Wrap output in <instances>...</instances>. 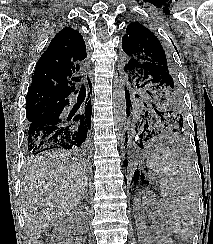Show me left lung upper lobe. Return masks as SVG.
<instances>
[{
	"label": "left lung upper lobe",
	"mask_w": 213,
	"mask_h": 244,
	"mask_svg": "<svg viewBox=\"0 0 213 244\" xmlns=\"http://www.w3.org/2000/svg\"><path fill=\"white\" fill-rule=\"evenodd\" d=\"M122 49L127 106L132 107L130 98H137V110L150 116L165 133L185 135V106L176 69L158 38L134 22L127 26Z\"/></svg>",
	"instance_id": "1"
}]
</instances>
